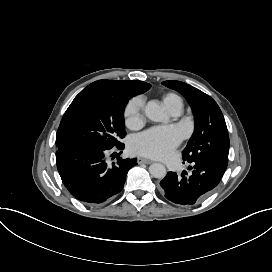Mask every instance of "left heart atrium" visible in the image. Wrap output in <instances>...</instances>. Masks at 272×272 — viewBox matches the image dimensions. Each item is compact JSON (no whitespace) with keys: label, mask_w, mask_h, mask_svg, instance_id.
I'll return each instance as SVG.
<instances>
[{"label":"left heart atrium","mask_w":272,"mask_h":272,"mask_svg":"<svg viewBox=\"0 0 272 272\" xmlns=\"http://www.w3.org/2000/svg\"><path fill=\"white\" fill-rule=\"evenodd\" d=\"M179 141L180 135L176 128L159 126L140 134L130 149L133 153L165 159L173 153Z\"/></svg>","instance_id":"1"}]
</instances>
